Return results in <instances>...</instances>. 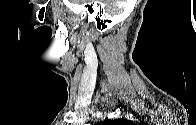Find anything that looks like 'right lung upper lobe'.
<instances>
[{"instance_id":"cb5924a9","label":"right lung upper lobe","mask_w":196,"mask_h":125,"mask_svg":"<svg viewBox=\"0 0 196 125\" xmlns=\"http://www.w3.org/2000/svg\"><path fill=\"white\" fill-rule=\"evenodd\" d=\"M109 124H114V123H124L127 124L128 121L124 120V119H117V120H109L107 121Z\"/></svg>"}]
</instances>
